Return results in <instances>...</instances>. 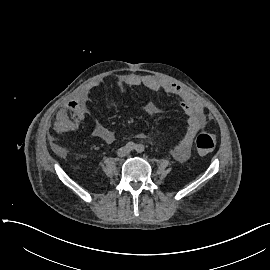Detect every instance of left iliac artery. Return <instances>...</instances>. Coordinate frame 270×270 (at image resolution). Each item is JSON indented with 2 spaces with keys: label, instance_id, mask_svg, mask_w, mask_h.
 <instances>
[{
  "label": "left iliac artery",
  "instance_id": "left-iliac-artery-1",
  "mask_svg": "<svg viewBox=\"0 0 270 270\" xmlns=\"http://www.w3.org/2000/svg\"><path fill=\"white\" fill-rule=\"evenodd\" d=\"M136 151H137L138 153H142V152L144 151V146L141 145V144H138V145L136 146Z\"/></svg>",
  "mask_w": 270,
  "mask_h": 270
}]
</instances>
